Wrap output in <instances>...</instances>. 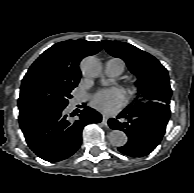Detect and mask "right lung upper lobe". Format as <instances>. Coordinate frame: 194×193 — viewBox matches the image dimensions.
<instances>
[{"instance_id":"1","label":"right lung upper lobe","mask_w":194,"mask_h":193,"mask_svg":"<svg viewBox=\"0 0 194 193\" xmlns=\"http://www.w3.org/2000/svg\"><path fill=\"white\" fill-rule=\"evenodd\" d=\"M101 49L100 42L85 40H68L53 45L29 68L22 80L19 100L31 96L35 84L45 79L61 80L78 85L81 77L78 65L81 59Z\"/></svg>"}]
</instances>
